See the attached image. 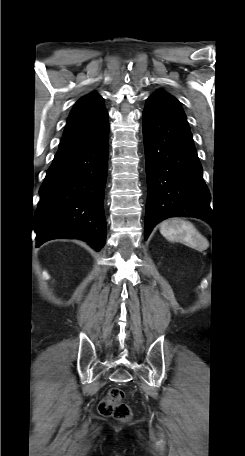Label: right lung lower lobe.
I'll return each mask as SVG.
<instances>
[{
	"label": "right lung lower lobe",
	"instance_id": "1",
	"mask_svg": "<svg viewBox=\"0 0 245 456\" xmlns=\"http://www.w3.org/2000/svg\"><path fill=\"white\" fill-rule=\"evenodd\" d=\"M109 125L91 144L56 153L40 188L34 218L37 247L53 239H82L99 251L105 244L104 188Z\"/></svg>",
	"mask_w": 245,
	"mask_h": 456
}]
</instances>
